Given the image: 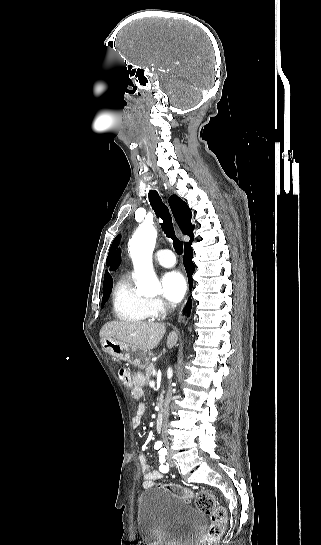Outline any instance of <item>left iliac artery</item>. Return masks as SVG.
Masks as SVG:
<instances>
[{
    "instance_id": "1",
    "label": "left iliac artery",
    "mask_w": 321,
    "mask_h": 545,
    "mask_svg": "<svg viewBox=\"0 0 321 545\" xmlns=\"http://www.w3.org/2000/svg\"><path fill=\"white\" fill-rule=\"evenodd\" d=\"M166 455H167L166 448H162V449L159 450V462H160L159 469L163 473H166L169 470V465L165 464V462H166L165 456Z\"/></svg>"
}]
</instances>
